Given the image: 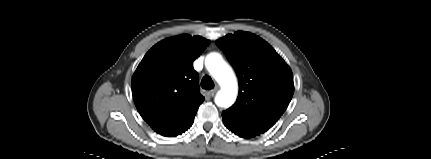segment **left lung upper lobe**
Returning a JSON list of instances; mask_svg holds the SVG:
<instances>
[{"label":"left lung upper lobe","mask_w":431,"mask_h":159,"mask_svg":"<svg viewBox=\"0 0 431 159\" xmlns=\"http://www.w3.org/2000/svg\"><path fill=\"white\" fill-rule=\"evenodd\" d=\"M239 78L236 103L225 115L239 123L269 129L286 110L294 93L290 67L262 38L238 31L216 41Z\"/></svg>","instance_id":"obj_1"}]
</instances>
